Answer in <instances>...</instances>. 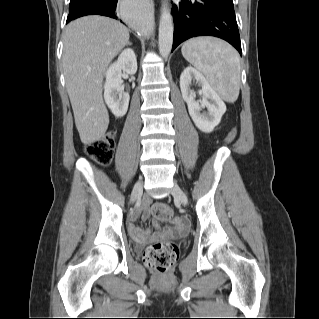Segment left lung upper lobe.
<instances>
[{
  "mask_svg": "<svg viewBox=\"0 0 319 319\" xmlns=\"http://www.w3.org/2000/svg\"><path fill=\"white\" fill-rule=\"evenodd\" d=\"M216 1L221 2L223 4H226V5L233 6V1L232 0H216Z\"/></svg>",
  "mask_w": 319,
  "mask_h": 319,
  "instance_id": "5c2ea615",
  "label": "left lung upper lobe"
}]
</instances>
